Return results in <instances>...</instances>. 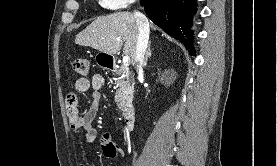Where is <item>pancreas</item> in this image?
<instances>
[{
    "label": "pancreas",
    "instance_id": "obj_1",
    "mask_svg": "<svg viewBox=\"0 0 277 166\" xmlns=\"http://www.w3.org/2000/svg\"><path fill=\"white\" fill-rule=\"evenodd\" d=\"M116 74L120 77L115 82L118 87L116 90L115 102L122 109L125 107V103L133 98L134 83L126 67L122 66Z\"/></svg>",
    "mask_w": 277,
    "mask_h": 166
}]
</instances>
